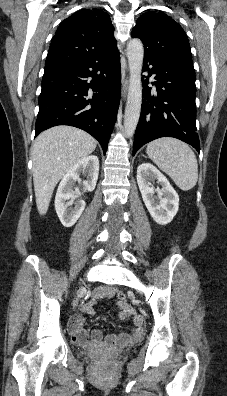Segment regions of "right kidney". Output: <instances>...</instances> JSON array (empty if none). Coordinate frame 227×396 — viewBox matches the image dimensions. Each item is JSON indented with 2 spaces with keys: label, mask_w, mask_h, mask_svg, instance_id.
Wrapping results in <instances>:
<instances>
[{
  "label": "right kidney",
  "mask_w": 227,
  "mask_h": 396,
  "mask_svg": "<svg viewBox=\"0 0 227 396\" xmlns=\"http://www.w3.org/2000/svg\"><path fill=\"white\" fill-rule=\"evenodd\" d=\"M98 173V157L91 155L77 162L61 180L55 197V210L63 226H73L85 209L86 204L83 200L73 202L76 198L75 183L81 181L79 176L84 174L87 177L83 185L84 189L90 192L95 189ZM73 204H75L74 207H72Z\"/></svg>",
  "instance_id": "1"
}]
</instances>
